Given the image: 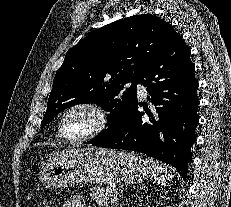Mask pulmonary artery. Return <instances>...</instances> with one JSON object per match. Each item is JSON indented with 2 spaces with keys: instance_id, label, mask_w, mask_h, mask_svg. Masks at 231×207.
Listing matches in <instances>:
<instances>
[{
  "instance_id": "e3ab8cb5",
  "label": "pulmonary artery",
  "mask_w": 231,
  "mask_h": 207,
  "mask_svg": "<svg viewBox=\"0 0 231 207\" xmlns=\"http://www.w3.org/2000/svg\"><path fill=\"white\" fill-rule=\"evenodd\" d=\"M137 89L140 91L141 94H145V90H144V87L142 86V84L138 83Z\"/></svg>"
}]
</instances>
